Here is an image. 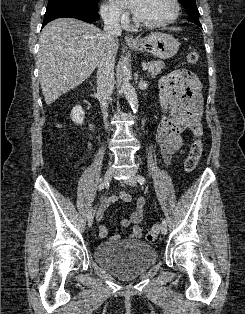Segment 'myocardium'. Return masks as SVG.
Returning a JSON list of instances; mask_svg holds the SVG:
<instances>
[{
    "label": "myocardium",
    "instance_id": "f54148a6",
    "mask_svg": "<svg viewBox=\"0 0 245 314\" xmlns=\"http://www.w3.org/2000/svg\"><path fill=\"white\" fill-rule=\"evenodd\" d=\"M172 5H173V12L171 16L168 18L161 20V21H156V22H145L140 20L136 14L133 16L134 24L139 27L143 28H159L163 26H167L171 23H173L180 15V3L179 0H171Z\"/></svg>",
    "mask_w": 245,
    "mask_h": 314
}]
</instances>
